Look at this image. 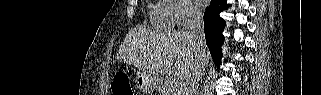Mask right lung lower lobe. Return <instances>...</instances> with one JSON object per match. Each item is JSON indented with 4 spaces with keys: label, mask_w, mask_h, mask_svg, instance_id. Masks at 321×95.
Masks as SVG:
<instances>
[{
    "label": "right lung lower lobe",
    "mask_w": 321,
    "mask_h": 95,
    "mask_svg": "<svg viewBox=\"0 0 321 95\" xmlns=\"http://www.w3.org/2000/svg\"><path fill=\"white\" fill-rule=\"evenodd\" d=\"M228 8L226 0H212L204 13L205 38L214 63L219 67L222 58L221 45L224 42L222 31L225 21L219 13Z\"/></svg>",
    "instance_id": "1"
}]
</instances>
